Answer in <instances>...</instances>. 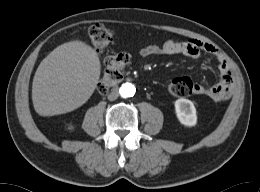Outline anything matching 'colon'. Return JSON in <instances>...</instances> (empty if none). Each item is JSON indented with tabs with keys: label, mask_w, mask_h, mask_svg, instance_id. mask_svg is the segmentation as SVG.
<instances>
[{
	"label": "colon",
	"mask_w": 260,
	"mask_h": 192,
	"mask_svg": "<svg viewBox=\"0 0 260 192\" xmlns=\"http://www.w3.org/2000/svg\"><path fill=\"white\" fill-rule=\"evenodd\" d=\"M89 39L97 52H103L113 40V33L110 29L101 24H94L90 27ZM129 63V56L125 53H118L109 56L105 61V72L98 84V92L106 94L117 84ZM194 83L187 77L173 79L167 85V91L174 96L183 97L193 93Z\"/></svg>",
	"instance_id": "1"
}]
</instances>
